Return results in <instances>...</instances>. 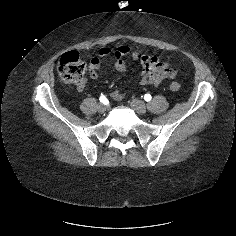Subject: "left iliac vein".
I'll return each instance as SVG.
<instances>
[{"mask_svg":"<svg viewBox=\"0 0 236 236\" xmlns=\"http://www.w3.org/2000/svg\"><path fill=\"white\" fill-rule=\"evenodd\" d=\"M131 107L138 113V114H144L146 113V106L145 104L138 99H133L131 101Z\"/></svg>","mask_w":236,"mask_h":236,"instance_id":"1","label":"left iliac vein"}]
</instances>
